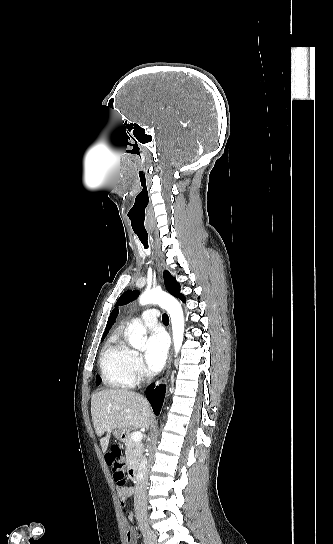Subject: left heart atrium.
I'll list each match as a JSON object with an SVG mask.
<instances>
[{"label": "left heart atrium", "instance_id": "obj_1", "mask_svg": "<svg viewBox=\"0 0 333 544\" xmlns=\"http://www.w3.org/2000/svg\"><path fill=\"white\" fill-rule=\"evenodd\" d=\"M169 347L168 337L162 331H155L147 340L145 360L152 371L160 370L166 360Z\"/></svg>", "mask_w": 333, "mask_h": 544}]
</instances>
